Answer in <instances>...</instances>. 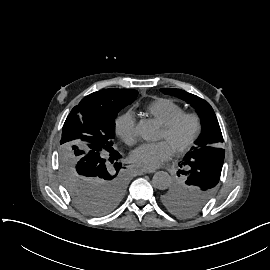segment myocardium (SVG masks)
<instances>
[{
  "mask_svg": "<svg viewBox=\"0 0 270 270\" xmlns=\"http://www.w3.org/2000/svg\"><path fill=\"white\" fill-rule=\"evenodd\" d=\"M185 121H191L193 129L187 141L176 143V147L179 151L189 148L195 142L200 128L198 116L194 113H185L174 119L169 125L164 126L166 132L173 137L179 126Z\"/></svg>",
  "mask_w": 270,
  "mask_h": 270,
  "instance_id": "obj_1",
  "label": "myocardium"
}]
</instances>
